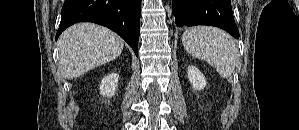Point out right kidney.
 <instances>
[{
    "label": "right kidney",
    "instance_id": "right-kidney-1",
    "mask_svg": "<svg viewBox=\"0 0 299 130\" xmlns=\"http://www.w3.org/2000/svg\"><path fill=\"white\" fill-rule=\"evenodd\" d=\"M119 76L116 73H111L105 76L100 85V94L106 97L114 96L117 88Z\"/></svg>",
    "mask_w": 299,
    "mask_h": 130
}]
</instances>
